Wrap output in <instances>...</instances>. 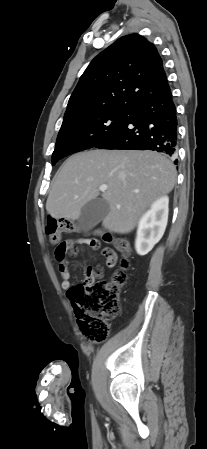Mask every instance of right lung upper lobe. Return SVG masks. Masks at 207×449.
I'll list each match as a JSON object with an SVG mask.
<instances>
[{
	"label": "right lung upper lobe",
	"instance_id": "1",
	"mask_svg": "<svg viewBox=\"0 0 207 449\" xmlns=\"http://www.w3.org/2000/svg\"><path fill=\"white\" fill-rule=\"evenodd\" d=\"M169 91L156 47L141 35H127L91 61L69 99L64 120L101 109H134Z\"/></svg>",
	"mask_w": 207,
	"mask_h": 449
}]
</instances>
